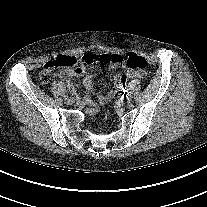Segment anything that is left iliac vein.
I'll return each instance as SVG.
<instances>
[{
    "label": "left iliac vein",
    "mask_w": 207,
    "mask_h": 207,
    "mask_svg": "<svg viewBox=\"0 0 207 207\" xmlns=\"http://www.w3.org/2000/svg\"><path fill=\"white\" fill-rule=\"evenodd\" d=\"M121 102L123 103V104H131L132 102H133V99L132 98H130V99H127L126 97H123L122 99H121Z\"/></svg>",
    "instance_id": "4c4485c4"
}]
</instances>
